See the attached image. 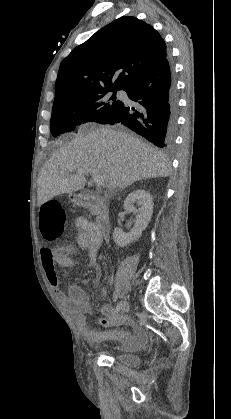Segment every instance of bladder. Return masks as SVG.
Wrapping results in <instances>:
<instances>
[{"instance_id":"1","label":"bladder","mask_w":231,"mask_h":419,"mask_svg":"<svg viewBox=\"0 0 231 419\" xmlns=\"http://www.w3.org/2000/svg\"><path fill=\"white\" fill-rule=\"evenodd\" d=\"M114 361L124 367L133 368L140 364L141 358L137 354L114 351L112 354Z\"/></svg>"}]
</instances>
